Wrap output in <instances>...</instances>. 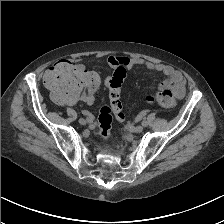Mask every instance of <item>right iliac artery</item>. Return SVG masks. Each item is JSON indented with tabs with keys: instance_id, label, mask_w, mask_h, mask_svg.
<instances>
[{
	"instance_id": "1",
	"label": "right iliac artery",
	"mask_w": 224,
	"mask_h": 224,
	"mask_svg": "<svg viewBox=\"0 0 224 224\" xmlns=\"http://www.w3.org/2000/svg\"><path fill=\"white\" fill-rule=\"evenodd\" d=\"M86 120L89 122V123H92L94 121V118L92 116H88L86 118Z\"/></svg>"
}]
</instances>
